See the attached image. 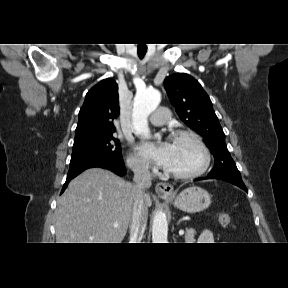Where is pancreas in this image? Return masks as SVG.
<instances>
[{"label": "pancreas", "instance_id": "obj_1", "mask_svg": "<svg viewBox=\"0 0 288 288\" xmlns=\"http://www.w3.org/2000/svg\"><path fill=\"white\" fill-rule=\"evenodd\" d=\"M195 234H196V232H195V230L194 229H186V233H185V242L186 243H194V241H195Z\"/></svg>", "mask_w": 288, "mask_h": 288}]
</instances>
